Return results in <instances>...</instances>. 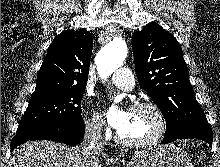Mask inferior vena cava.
<instances>
[{
  "label": "inferior vena cava",
  "instance_id": "obj_1",
  "mask_svg": "<svg viewBox=\"0 0 220 167\" xmlns=\"http://www.w3.org/2000/svg\"><path fill=\"white\" fill-rule=\"evenodd\" d=\"M102 128L103 123L100 121H96L86 126L85 136L80 148L87 158H95L102 153L104 148L101 136Z\"/></svg>",
  "mask_w": 220,
  "mask_h": 167
}]
</instances>
